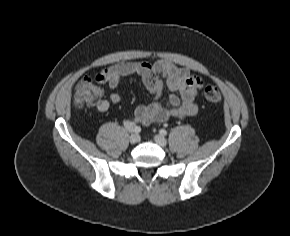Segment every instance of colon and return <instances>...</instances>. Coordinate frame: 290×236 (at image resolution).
<instances>
[{
	"instance_id": "colon-1",
	"label": "colon",
	"mask_w": 290,
	"mask_h": 236,
	"mask_svg": "<svg viewBox=\"0 0 290 236\" xmlns=\"http://www.w3.org/2000/svg\"><path fill=\"white\" fill-rule=\"evenodd\" d=\"M100 79L86 77L75 86L74 103L77 107L94 106L101 95ZM203 97L207 102L217 103L222 99L220 90L213 85L203 89Z\"/></svg>"
}]
</instances>
